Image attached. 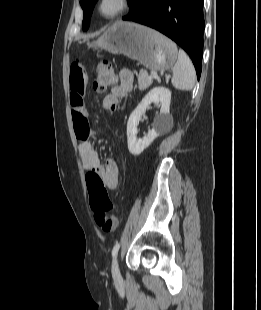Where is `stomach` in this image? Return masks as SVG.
Segmentation results:
<instances>
[{"instance_id":"0dacf381","label":"stomach","mask_w":261,"mask_h":310,"mask_svg":"<svg viewBox=\"0 0 261 310\" xmlns=\"http://www.w3.org/2000/svg\"><path fill=\"white\" fill-rule=\"evenodd\" d=\"M87 45L112 54H123L156 72L172 68L178 57L177 47L171 40L153 29L133 22H116L97 40L88 42Z\"/></svg>"}]
</instances>
